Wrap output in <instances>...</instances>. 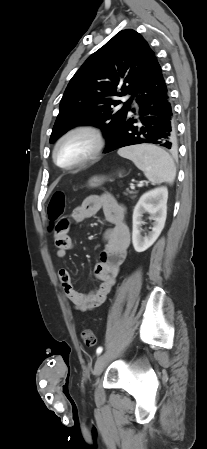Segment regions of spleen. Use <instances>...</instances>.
<instances>
[{"label":"spleen","instance_id":"obj_1","mask_svg":"<svg viewBox=\"0 0 207 449\" xmlns=\"http://www.w3.org/2000/svg\"><path fill=\"white\" fill-rule=\"evenodd\" d=\"M121 157L131 160L153 184H172L176 167L171 156L160 147L151 144L134 145L118 150Z\"/></svg>","mask_w":207,"mask_h":449}]
</instances>
